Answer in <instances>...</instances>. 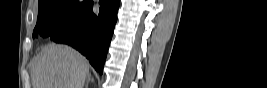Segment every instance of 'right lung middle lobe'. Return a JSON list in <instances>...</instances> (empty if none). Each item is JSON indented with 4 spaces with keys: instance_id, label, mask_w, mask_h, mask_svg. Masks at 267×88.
Instances as JSON below:
<instances>
[{
    "instance_id": "dd1d6c3e",
    "label": "right lung middle lobe",
    "mask_w": 267,
    "mask_h": 88,
    "mask_svg": "<svg viewBox=\"0 0 267 88\" xmlns=\"http://www.w3.org/2000/svg\"><path fill=\"white\" fill-rule=\"evenodd\" d=\"M91 0H40L33 38L52 37L73 25L91 5Z\"/></svg>"
}]
</instances>
